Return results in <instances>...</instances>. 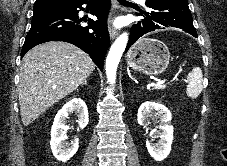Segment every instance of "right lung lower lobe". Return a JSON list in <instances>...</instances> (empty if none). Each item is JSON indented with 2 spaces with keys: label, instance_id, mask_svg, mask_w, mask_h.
Returning <instances> with one entry per match:
<instances>
[{
  "label": "right lung lower lobe",
  "instance_id": "right-lung-lower-lobe-1",
  "mask_svg": "<svg viewBox=\"0 0 227 166\" xmlns=\"http://www.w3.org/2000/svg\"><path fill=\"white\" fill-rule=\"evenodd\" d=\"M88 5L97 20H84L88 26H81L78 8ZM110 0H80L69 5L66 11L49 13L32 19L21 51V57L34 46L48 41H64L76 45L89 54L94 63L102 70L104 57L110 44L106 19ZM92 29L93 32H89Z\"/></svg>",
  "mask_w": 227,
  "mask_h": 166
}]
</instances>
